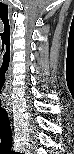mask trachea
I'll use <instances>...</instances> for the list:
<instances>
[{
  "label": "trachea",
  "mask_w": 74,
  "mask_h": 154,
  "mask_svg": "<svg viewBox=\"0 0 74 154\" xmlns=\"http://www.w3.org/2000/svg\"><path fill=\"white\" fill-rule=\"evenodd\" d=\"M11 134V125L8 117V113L5 109L0 110V136L1 142L8 141L9 135Z\"/></svg>",
  "instance_id": "3493384b"
}]
</instances>
